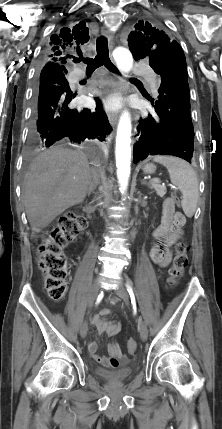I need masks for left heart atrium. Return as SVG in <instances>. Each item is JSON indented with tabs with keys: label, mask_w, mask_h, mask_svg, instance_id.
<instances>
[{
	"label": "left heart atrium",
	"mask_w": 222,
	"mask_h": 429,
	"mask_svg": "<svg viewBox=\"0 0 222 429\" xmlns=\"http://www.w3.org/2000/svg\"><path fill=\"white\" fill-rule=\"evenodd\" d=\"M105 107L108 110H114L119 107V99L116 97H110L105 101Z\"/></svg>",
	"instance_id": "1"
}]
</instances>
